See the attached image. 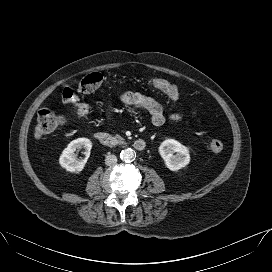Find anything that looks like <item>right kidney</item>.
<instances>
[{"mask_svg": "<svg viewBox=\"0 0 272 272\" xmlns=\"http://www.w3.org/2000/svg\"><path fill=\"white\" fill-rule=\"evenodd\" d=\"M85 149V159L78 160L74 154L76 149ZM92 149V142L88 138H78L71 141L68 146L63 150L59 163L67 171L71 173L79 174L87 162L88 157L90 156V151Z\"/></svg>", "mask_w": 272, "mask_h": 272, "instance_id": "obj_1", "label": "right kidney"}]
</instances>
